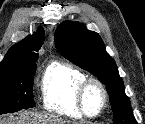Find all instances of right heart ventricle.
Here are the masks:
<instances>
[{
    "mask_svg": "<svg viewBox=\"0 0 145 124\" xmlns=\"http://www.w3.org/2000/svg\"><path fill=\"white\" fill-rule=\"evenodd\" d=\"M86 74L64 62H53L41 79V97L45 109L68 118H82L77 104V90Z\"/></svg>",
    "mask_w": 145,
    "mask_h": 124,
    "instance_id": "1",
    "label": "right heart ventricle"
}]
</instances>
